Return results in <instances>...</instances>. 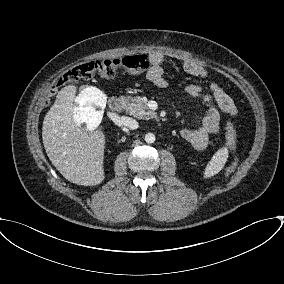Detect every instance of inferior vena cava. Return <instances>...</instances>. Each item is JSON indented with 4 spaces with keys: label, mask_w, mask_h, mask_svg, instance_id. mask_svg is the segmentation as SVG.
<instances>
[{
    "label": "inferior vena cava",
    "mask_w": 284,
    "mask_h": 284,
    "mask_svg": "<svg viewBox=\"0 0 284 284\" xmlns=\"http://www.w3.org/2000/svg\"><path fill=\"white\" fill-rule=\"evenodd\" d=\"M120 125L125 126L131 130H135L138 128V122L130 117H121L120 119Z\"/></svg>",
    "instance_id": "inferior-vena-cava-1"
}]
</instances>
